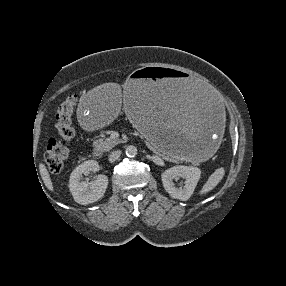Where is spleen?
<instances>
[{
	"label": "spleen",
	"mask_w": 286,
	"mask_h": 286,
	"mask_svg": "<svg viewBox=\"0 0 286 286\" xmlns=\"http://www.w3.org/2000/svg\"><path fill=\"white\" fill-rule=\"evenodd\" d=\"M225 175L224 168L216 169L208 178L207 182L203 185L202 189L200 190V194H206L213 190L219 182L223 179Z\"/></svg>",
	"instance_id": "3e777b00"
}]
</instances>
